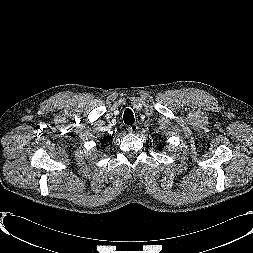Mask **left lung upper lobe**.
<instances>
[{"mask_svg":"<svg viewBox=\"0 0 253 253\" xmlns=\"http://www.w3.org/2000/svg\"><path fill=\"white\" fill-rule=\"evenodd\" d=\"M162 147V144H160L159 149Z\"/></svg>","mask_w":253,"mask_h":253,"instance_id":"5c2ea615","label":"left lung upper lobe"}]
</instances>
